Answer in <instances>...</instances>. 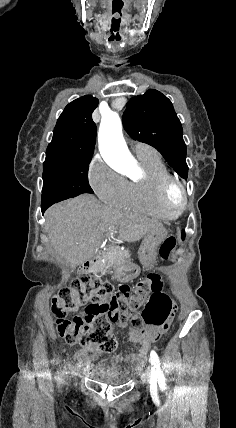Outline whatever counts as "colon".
I'll return each instance as SVG.
<instances>
[{"instance_id":"colon-1","label":"colon","mask_w":236,"mask_h":428,"mask_svg":"<svg viewBox=\"0 0 236 428\" xmlns=\"http://www.w3.org/2000/svg\"><path fill=\"white\" fill-rule=\"evenodd\" d=\"M176 237L168 236L161 244L162 259L169 260L176 246ZM164 279L151 274L135 286H120L116 291L107 282L81 276L71 289H62L52 300V311L57 317L59 336L68 344L78 345L88 352H113L117 341L113 324L118 320L130 322L149 297L142 310V322L150 327L167 329L176 308L171 299L162 293ZM75 293V296H73ZM81 313L69 318L68 315Z\"/></svg>"}]
</instances>
